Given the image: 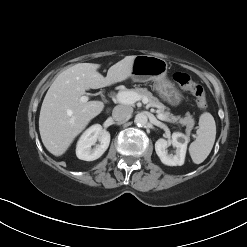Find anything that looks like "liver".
Masks as SVG:
<instances>
[{
	"label": "liver",
	"instance_id": "1",
	"mask_svg": "<svg viewBox=\"0 0 247 247\" xmlns=\"http://www.w3.org/2000/svg\"><path fill=\"white\" fill-rule=\"evenodd\" d=\"M135 57L126 56L111 66L106 77L97 72L100 65L93 63H78L58 75L46 93L39 116L41 139L50 153L63 155L75 137L103 111L101 101L80 102L86 90L128 79Z\"/></svg>",
	"mask_w": 247,
	"mask_h": 247
}]
</instances>
